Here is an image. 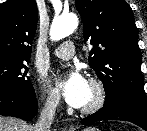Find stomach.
Instances as JSON below:
<instances>
[{"instance_id":"1","label":"stomach","mask_w":147,"mask_h":131,"mask_svg":"<svg viewBox=\"0 0 147 131\" xmlns=\"http://www.w3.org/2000/svg\"><path fill=\"white\" fill-rule=\"evenodd\" d=\"M83 131H99L96 128H85Z\"/></svg>"}]
</instances>
